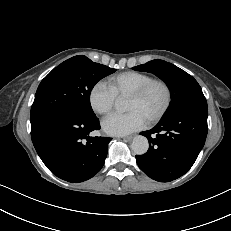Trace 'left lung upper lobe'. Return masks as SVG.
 <instances>
[{
	"label": "left lung upper lobe",
	"mask_w": 231,
	"mask_h": 231,
	"mask_svg": "<svg viewBox=\"0 0 231 231\" xmlns=\"http://www.w3.org/2000/svg\"><path fill=\"white\" fill-rule=\"evenodd\" d=\"M132 69L153 73L167 84L171 102L164 117L188 101L205 98L201 87L191 75L166 61L152 60Z\"/></svg>",
	"instance_id": "obj_1"
}]
</instances>
